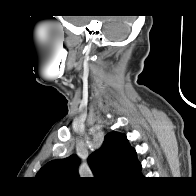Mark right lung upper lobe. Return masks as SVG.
<instances>
[{
    "label": "right lung upper lobe",
    "instance_id": "1",
    "mask_svg": "<svg viewBox=\"0 0 196 196\" xmlns=\"http://www.w3.org/2000/svg\"><path fill=\"white\" fill-rule=\"evenodd\" d=\"M76 155L47 163L37 173L39 179L49 185H61L67 180L78 178ZM89 166L97 178L133 180L141 176V163L124 134L110 132L103 146L91 154Z\"/></svg>",
    "mask_w": 196,
    "mask_h": 196
}]
</instances>
